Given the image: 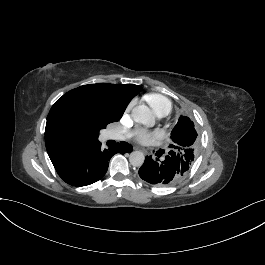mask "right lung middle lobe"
Wrapping results in <instances>:
<instances>
[{
    "label": "right lung middle lobe",
    "mask_w": 265,
    "mask_h": 265,
    "mask_svg": "<svg viewBox=\"0 0 265 265\" xmlns=\"http://www.w3.org/2000/svg\"><path fill=\"white\" fill-rule=\"evenodd\" d=\"M127 105L105 93L67 92L51 108L56 127L71 134L93 133L119 121Z\"/></svg>",
    "instance_id": "obj_1"
}]
</instances>
